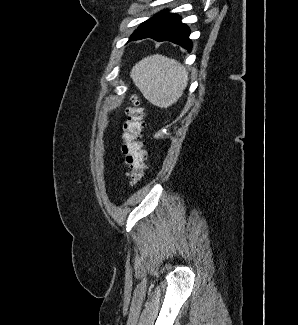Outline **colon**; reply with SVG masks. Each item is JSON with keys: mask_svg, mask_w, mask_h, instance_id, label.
Masks as SVG:
<instances>
[{"mask_svg": "<svg viewBox=\"0 0 298 325\" xmlns=\"http://www.w3.org/2000/svg\"><path fill=\"white\" fill-rule=\"evenodd\" d=\"M128 103L125 110L126 120L122 127L121 152L128 168V180L133 185L143 178L148 169V153L140 140L143 118L139 100L132 96Z\"/></svg>", "mask_w": 298, "mask_h": 325, "instance_id": "colon-1", "label": "colon"}]
</instances>
